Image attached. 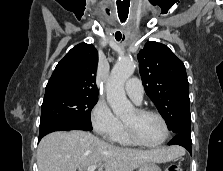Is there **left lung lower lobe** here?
<instances>
[{
    "mask_svg": "<svg viewBox=\"0 0 223 171\" xmlns=\"http://www.w3.org/2000/svg\"><path fill=\"white\" fill-rule=\"evenodd\" d=\"M169 145H180L184 148H186L191 154V138L181 135V134H176L174 138L169 142Z\"/></svg>",
    "mask_w": 223,
    "mask_h": 171,
    "instance_id": "1",
    "label": "left lung lower lobe"
}]
</instances>
